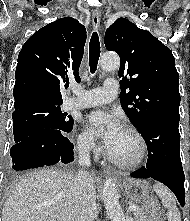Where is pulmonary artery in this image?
Here are the masks:
<instances>
[{
	"label": "pulmonary artery",
	"mask_w": 190,
	"mask_h": 221,
	"mask_svg": "<svg viewBox=\"0 0 190 221\" xmlns=\"http://www.w3.org/2000/svg\"><path fill=\"white\" fill-rule=\"evenodd\" d=\"M74 97L65 102L67 109H82L102 105L111 102L118 93V82L109 78L103 86L91 90H83L79 86H73Z\"/></svg>",
	"instance_id": "1"
}]
</instances>
